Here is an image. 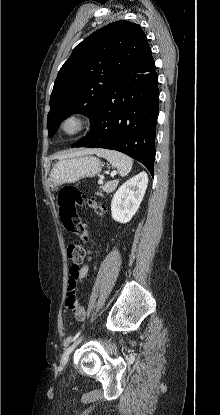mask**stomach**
<instances>
[{
    "label": "stomach",
    "mask_w": 220,
    "mask_h": 415,
    "mask_svg": "<svg viewBox=\"0 0 220 415\" xmlns=\"http://www.w3.org/2000/svg\"><path fill=\"white\" fill-rule=\"evenodd\" d=\"M102 170L101 161L90 155L77 156L59 161L50 173V181L58 186L76 182L85 177H93Z\"/></svg>",
    "instance_id": "obj_1"
}]
</instances>
